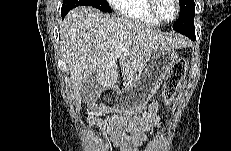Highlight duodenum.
I'll use <instances>...</instances> for the list:
<instances>
[{
  "mask_svg": "<svg viewBox=\"0 0 231 151\" xmlns=\"http://www.w3.org/2000/svg\"><path fill=\"white\" fill-rule=\"evenodd\" d=\"M102 102H103L104 104H106V105L108 104V101L105 100L104 98H103Z\"/></svg>",
  "mask_w": 231,
  "mask_h": 151,
  "instance_id": "1",
  "label": "duodenum"
}]
</instances>
